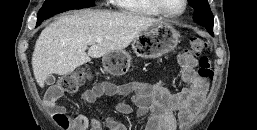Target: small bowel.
Wrapping results in <instances>:
<instances>
[{
    "label": "small bowel",
    "mask_w": 257,
    "mask_h": 130,
    "mask_svg": "<svg viewBox=\"0 0 257 130\" xmlns=\"http://www.w3.org/2000/svg\"><path fill=\"white\" fill-rule=\"evenodd\" d=\"M180 79L184 87L178 92L169 91L162 83L148 84L132 82L124 85H115L103 81L96 83L83 92L81 100L93 103L102 96L118 97L117 111L125 116L133 114L132 106L126 102L130 97L136 107L137 118H144L143 130H176L178 121L186 122L204 102L207 82L199 76L195 67V56L185 51L178 57ZM61 96V95H60ZM53 97L50 89L45 96L46 105L57 113H66L63 106L57 103L59 97ZM71 130H129L120 121L109 116L98 119L87 115H75L70 119Z\"/></svg>",
    "instance_id": "small-bowel-1"
}]
</instances>
